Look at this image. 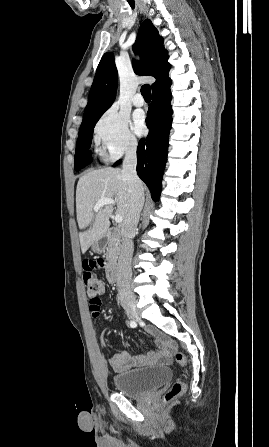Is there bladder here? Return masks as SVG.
I'll return each instance as SVG.
<instances>
[{"instance_id": "1", "label": "bladder", "mask_w": 269, "mask_h": 447, "mask_svg": "<svg viewBox=\"0 0 269 447\" xmlns=\"http://www.w3.org/2000/svg\"><path fill=\"white\" fill-rule=\"evenodd\" d=\"M171 378L172 372L170 367L159 365L113 374L111 383L115 392L123 393L130 397H140L147 391L155 390Z\"/></svg>"}]
</instances>
